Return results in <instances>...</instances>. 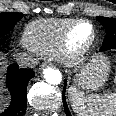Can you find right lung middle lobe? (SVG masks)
Wrapping results in <instances>:
<instances>
[{
  "mask_svg": "<svg viewBox=\"0 0 116 116\" xmlns=\"http://www.w3.org/2000/svg\"><path fill=\"white\" fill-rule=\"evenodd\" d=\"M22 16L21 13H0V36L8 34Z\"/></svg>",
  "mask_w": 116,
  "mask_h": 116,
  "instance_id": "right-lung-middle-lobe-1",
  "label": "right lung middle lobe"
}]
</instances>
